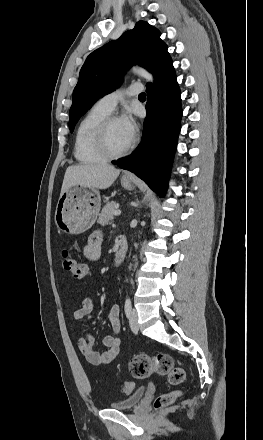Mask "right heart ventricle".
I'll return each mask as SVG.
<instances>
[{
    "instance_id": "obj_1",
    "label": "right heart ventricle",
    "mask_w": 263,
    "mask_h": 440,
    "mask_svg": "<svg viewBox=\"0 0 263 440\" xmlns=\"http://www.w3.org/2000/svg\"><path fill=\"white\" fill-rule=\"evenodd\" d=\"M108 114L110 112L95 104L79 122L74 139V157L78 162L92 164L105 160L95 148L94 135L99 122Z\"/></svg>"
}]
</instances>
